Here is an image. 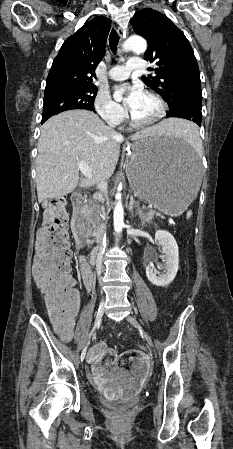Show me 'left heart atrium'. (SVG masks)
Instances as JSON below:
<instances>
[{"instance_id": "left-heart-atrium-1", "label": "left heart atrium", "mask_w": 233, "mask_h": 449, "mask_svg": "<svg viewBox=\"0 0 233 449\" xmlns=\"http://www.w3.org/2000/svg\"><path fill=\"white\" fill-rule=\"evenodd\" d=\"M118 91L126 93V104L131 113L136 109L139 102L145 95L140 88L128 84L119 87Z\"/></svg>"}]
</instances>
